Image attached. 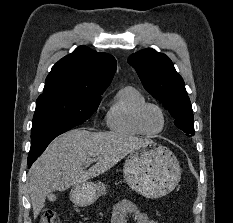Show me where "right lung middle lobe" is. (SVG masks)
<instances>
[{
	"label": "right lung middle lobe",
	"mask_w": 233,
	"mask_h": 223,
	"mask_svg": "<svg viewBox=\"0 0 233 223\" xmlns=\"http://www.w3.org/2000/svg\"><path fill=\"white\" fill-rule=\"evenodd\" d=\"M100 96L52 94L39 96L33 117L30 155L42 153L58 135L89 119Z\"/></svg>",
	"instance_id": "1"
}]
</instances>
